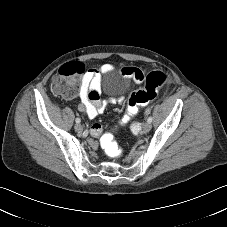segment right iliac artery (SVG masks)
<instances>
[{
  "mask_svg": "<svg viewBox=\"0 0 227 227\" xmlns=\"http://www.w3.org/2000/svg\"><path fill=\"white\" fill-rule=\"evenodd\" d=\"M75 121H76V123H78V124L81 122V120H80L79 118H76Z\"/></svg>",
  "mask_w": 227,
  "mask_h": 227,
  "instance_id": "82829eb1",
  "label": "right iliac artery"
}]
</instances>
